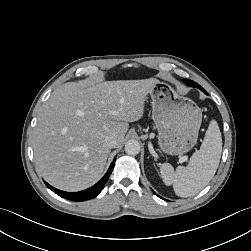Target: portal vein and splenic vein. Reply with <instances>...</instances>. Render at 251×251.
Instances as JSON below:
<instances>
[{
    "label": "portal vein and splenic vein",
    "mask_w": 251,
    "mask_h": 251,
    "mask_svg": "<svg viewBox=\"0 0 251 251\" xmlns=\"http://www.w3.org/2000/svg\"><path fill=\"white\" fill-rule=\"evenodd\" d=\"M186 161V159L185 158H181V162H185Z\"/></svg>",
    "instance_id": "1"
}]
</instances>
